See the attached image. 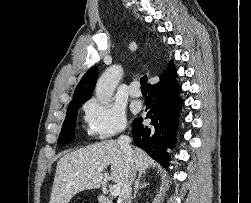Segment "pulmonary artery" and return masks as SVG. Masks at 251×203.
<instances>
[{"label": "pulmonary artery", "instance_id": "1", "mask_svg": "<svg viewBox=\"0 0 251 203\" xmlns=\"http://www.w3.org/2000/svg\"><path fill=\"white\" fill-rule=\"evenodd\" d=\"M129 94L132 96V97H140L141 96V91L139 89V84L137 81H134L130 84L129 86Z\"/></svg>", "mask_w": 251, "mask_h": 203}]
</instances>
